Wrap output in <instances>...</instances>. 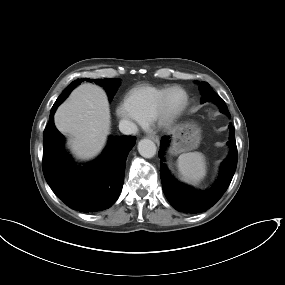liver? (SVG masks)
I'll return each mask as SVG.
<instances>
[{
	"label": "liver",
	"instance_id": "obj_1",
	"mask_svg": "<svg viewBox=\"0 0 285 285\" xmlns=\"http://www.w3.org/2000/svg\"><path fill=\"white\" fill-rule=\"evenodd\" d=\"M54 122L60 132L71 137L69 145L78 158H93L102 150L110 133L106 93L93 84L80 85L58 107Z\"/></svg>",
	"mask_w": 285,
	"mask_h": 285
}]
</instances>
